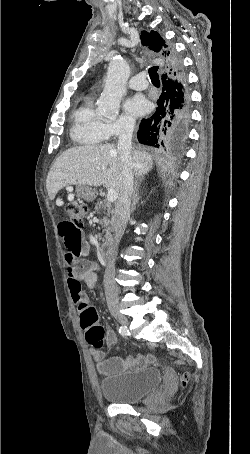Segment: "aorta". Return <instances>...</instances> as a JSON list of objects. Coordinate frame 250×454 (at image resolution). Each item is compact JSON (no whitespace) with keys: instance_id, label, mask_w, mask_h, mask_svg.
Listing matches in <instances>:
<instances>
[{"instance_id":"aorta-1","label":"aorta","mask_w":250,"mask_h":454,"mask_svg":"<svg viewBox=\"0 0 250 454\" xmlns=\"http://www.w3.org/2000/svg\"><path fill=\"white\" fill-rule=\"evenodd\" d=\"M129 76L130 68L124 59L116 58L109 63L104 90L97 101L98 112L101 115L108 117L118 115Z\"/></svg>"}]
</instances>
